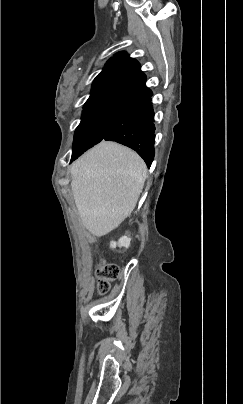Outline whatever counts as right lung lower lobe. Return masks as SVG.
Returning <instances> with one entry per match:
<instances>
[{"label": "right lung lower lobe", "mask_w": 243, "mask_h": 404, "mask_svg": "<svg viewBox=\"0 0 243 404\" xmlns=\"http://www.w3.org/2000/svg\"><path fill=\"white\" fill-rule=\"evenodd\" d=\"M151 96L130 102L115 119L103 138L135 150L150 167L154 159L155 127Z\"/></svg>", "instance_id": "1"}]
</instances>
